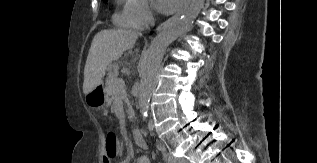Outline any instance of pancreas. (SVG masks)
<instances>
[{
    "label": "pancreas",
    "instance_id": "obj_1",
    "mask_svg": "<svg viewBox=\"0 0 317 163\" xmlns=\"http://www.w3.org/2000/svg\"><path fill=\"white\" fill-rule=\"evenodd\" d=\"M118 68H119L118 63H114L112 67L109 69L108 77L106 79V87H105V91L108 96L107 101L112 102L116 98L123 100L125 104L127 105L126 111L128 113V118L131 120L134 114H133V109L129 101L128 95L125 91V88L119 89L116 84L117 80H119L118 74H117Z\"/></svg>",
    "mask_w": 317,
    "mask_h": 163
}]
</instances>
